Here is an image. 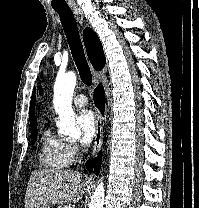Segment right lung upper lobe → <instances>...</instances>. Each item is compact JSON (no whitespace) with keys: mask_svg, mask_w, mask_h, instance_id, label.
I'll use <instances>...</instances> for the list:
<instances>
[{"mask_svg":"<svg viewBox=\"0 0 199 208\" xmlns=\"http://www.w3.org/2000/svg\"><path fill=\"white\" fill-rule=\"evenodd\" d=\"M83 41L86 47L88 58L95 70H102L105 66L106 59L103 52L102 44L97 34L91 28H85L83 32ZM29 120L31 130L37 129V120L35 118V94L33 92L30 109Z\"/></svg>","mask_w":199,"mask_h":208,"instance_id":"cb5924a9","label":"right lung upper lobe"}]
</instances>
